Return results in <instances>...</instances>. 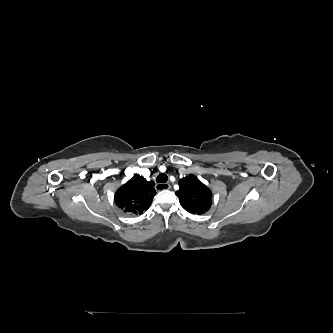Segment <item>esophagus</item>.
I'll return each mask as SVG.
<instances>
[{"instance_id":"obj_1","label":"esophagus","mask_w":333,"mask_h":333,"mask_svg":"<svg viewBox=\"0 0 333 333\" xmlns=\"http://www.w3.org/2000/svg\"><path fill=\"white\" fill-rule=\"evenodd\" d=\"M156 190L162 191V190H168L171 188L170 184L168 183H157L155 185Z\"/></svg>"}]
</instances>
